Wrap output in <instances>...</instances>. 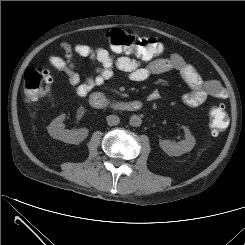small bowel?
I'll use <instances>...</instances> for the list:
<instances>
[{
  "instance_id": "small-bowel-1",
  "label": "small bowel",
  "mask_w": 245,
  "mask_h": 245,
  "mask_svg": "<svg viewBox=\"0 0 245 245\" xmlns=\"http://www.w3.org/2000/svg\"><path fill=\"white\" fill-rule=\"evenodd\" d=\"M60 48L64 56L51 55L48 58L49 63L67 75L70 86L79 97L90 94L112 78L116 72L121 73L131 82H144L154 75L175 72L189 88V91L181 97L182 102L189 107L200 106L208 98L223 99L226 96L224 88L217 81L204 80L193 65L176 53L141 62L126 56L116 57L103 47H91L86 44L61 43ZM75 55L89 58L94 64V74L89 75L84 81H81L74 63ZM157 97L156 92L149 95L150 100H155Z\"/></svg>"
}]
</instances>
